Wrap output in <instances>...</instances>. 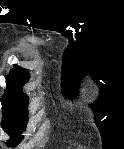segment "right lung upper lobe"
<instances>
[{"label":"right lung upper lobe","mask_w":124,"mask_h":149,"mask_svg":"<svg viewBox=\"0 0 124 149\" xmlns=\"http://www.w3.org/2000/svg\"><path fill=\"white\" fill-rule=\"evenodd\" d=\"M30 78L28 69L14 65V69L7 75V86L11 88H21Z\"/></svg>","instance_id":"right-lung-upper-lobe-1"}]
</instances>
